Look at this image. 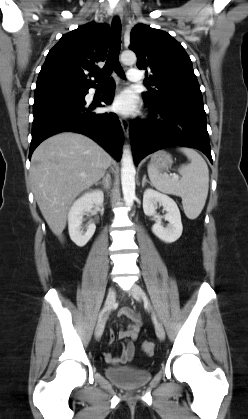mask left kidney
<instances>
[{"label": "left kidney", "instance_id": "obj_1", "mask_svg": "<svg viewBox=\"0 0 248 419\" xmlns=\"http://www.w3.org/2000/svg\"><path fill=\"white\" fill-rule=\"evenodd\" d=\"M157 204L166 211L165 220L169 222L167 227L161 224V218L157 215ZM143 210L147 216H155L156 223L152 226V232L166 243L175 242L180 238L183 230L181 215L176 202L169 196L154 189L148 188L143 195Z\"/></svg>", "mask_w": 248, "mask_h": 419}]
</instances>
